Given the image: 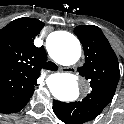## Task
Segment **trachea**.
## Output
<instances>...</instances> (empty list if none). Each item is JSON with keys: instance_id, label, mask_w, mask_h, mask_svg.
Segmentation results:
<instances>
[{"instance_id": "1", "label": "trachea", "mask_w": 124, "mask_h": 124, "mask_svg": "<svg viewBox=\"0 0 124 124\" xmlns=\"http://www.w3.org/2000/svg\"><path fill=\"white\" fill-rule=\"evenodd\" d=\"M45 67H46L47 70H51V71L58 70L57 65L55 63L51 62V61L47 62Z\"/></svg>"}]
</instances>
